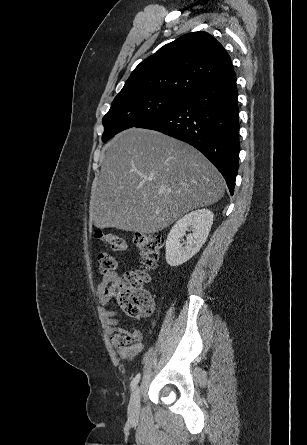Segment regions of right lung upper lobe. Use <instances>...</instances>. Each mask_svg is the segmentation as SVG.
<instances>
[{
	"mask_svg": "<svg viewBox=\"0 0 307 445\" xmlns=\"http://www.w3.org/2000/svg\"><path fill=\"white\" fill-rule=\"evenodd\" d=\"M234 71L223 46L206 32L188 33L142 61L118 95L186 97Z\"/></svg>",
	"mask_w": 307,
	"mask_h": 445,
	"instance_id": "obj_1",
	"label": "right lung upper lobe"
}]
</instances>
